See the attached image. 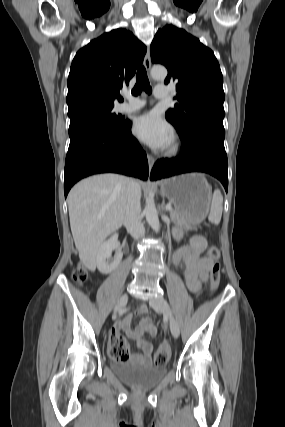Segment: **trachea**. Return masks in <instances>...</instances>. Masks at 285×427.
Wrapping results in <instances>:
<instances>
[{
	"label": "trachea",
	"instance_id": "3493384b",
	"mask_svg": "<svg viewBox=\"0 0 285 427\" xmlns=\"http://www.w3.org/2000/svg\"><path fill=\"white\" fill-rule=\"evenodd\" d=\"M142 90H144L148 94L152 93V88L147 77V72L143 66L139 67L137 71L136 84L132 90V94L134 96H137L142 92Z\"/></svg>",
	"mask_w": 285,
	"mask_h": 427
}]
</instances>
